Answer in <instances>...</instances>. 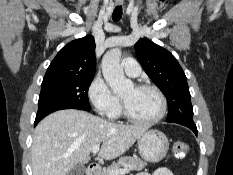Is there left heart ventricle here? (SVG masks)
<instances>
[{"label":"left heart ventricle","mask_w":233,"mask_h":175,"mask_svg":"<svg viewBox=\"0 0 233 175\" xmlns=\"http://www.w3.org/2000/svg\"><path fill=\"white\" fill-rule=\"evenodd\" d=\"M121 98L126 102L131 114L136 118L151 119L160 111V99L152 90H138L132 86L121 95Z\"/></svg>","instance_id":"b2bd125f"}]
</instances>
